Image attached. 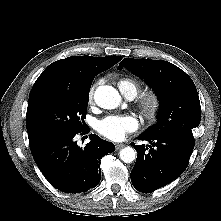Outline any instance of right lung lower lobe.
<instances>
[{
	"label": "right lung lower lobe",
	"mask_w": 221,
	"mask_h": 221,
	"mask_svg": "<svg viewBox=\"0 0 221 221\" xmlns=\"http://www.w3.org/2000/svg\"><path fill=\"white\" fill-rule=\"evenodd\" d=\"M74 136H53L30 144L33 158L45 178L66 193L94 188L100 182V159L115 150L113 143L95 134L90 135L91 141L84 148H80Z\"/></svg>",
	"instance_id": "right-lung-lower-lobe-1"
}]
</instances>
